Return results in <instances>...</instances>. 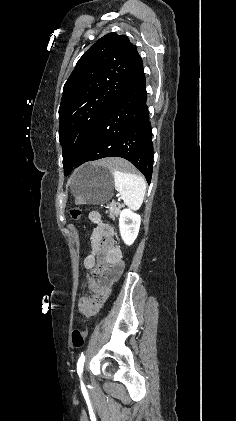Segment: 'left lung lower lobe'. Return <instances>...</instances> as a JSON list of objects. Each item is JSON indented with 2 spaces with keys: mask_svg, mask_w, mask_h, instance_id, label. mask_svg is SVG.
<instances>
[{
  "mask_svg": "<svg viewBox=\"0 0 236 421\" xmlns=\"http://www.w3.org/2000/svg\"><path fill=\"white\" fill-rule=\"evenodd\" d=\"M147 91L142 59L138 56L123 89L109 106L74 166L64 164V175L85 162L117 156L152 177V130L146 106Z\"/></svg>",
  "mask_w": 236,
  "mask_h": 421,
  "instance_id": "left-lung-lower-lobe-1",
  "label": "left lung lower lobe"
}]
</instances>
